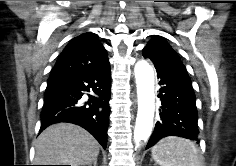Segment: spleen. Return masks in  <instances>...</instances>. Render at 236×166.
I'll list each match as a JSON object with an SVG mask.
<instances>
[{"instance_id":"obj_1","label":"spleen","mask_w":236,"mask_h":166,"mask_svg":"<svg viewBox=\"0 0 236 166\" xmlns=\"http://www.w3.org/2000/svg\"><path fill=\"white\" fill-rule=\"evenodd\" d=\"M152 157L160 166H200L194 143L175 136L160 140L152 148Z\"/></svg>"}]
</instances>
